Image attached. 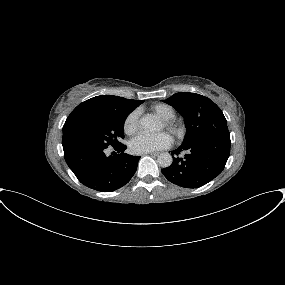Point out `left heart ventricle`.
I'll list each match as a JSON object with an SVG mask.
<instances>
[{
	"label": "left heart ventricle",
	"mask_w": 285,
	"mask_h": 285,
	"mask_svg": "<svg viewBox=\"0 0 285 285\" xmlns=\"http://www.w3.org/2000/svg\"><path fill=\"white\" fill-rule=\"evenodd\" d=\"M160 129H163V125L162 124L160 125Z\"/></svg>",
	"instance_id": "b2bd125f"
}]
</instances>
